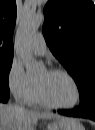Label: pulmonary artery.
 Masks as SVG:
<instances>
[{
  "label": "pulmonary artery",
  "instance_id": "e3ab8cb5",
  "mask_svg": "<svg viewBox=\"0 0 95 130\" xmlns=\"http://www.w3.org/2000/svg\"><path fill=\"white\" fill-rule=\"evenodd\" d=\"M31 50L38 55H43L46 53L47 46L44 36L41 33H37L33 36L30 42Z\"/></svg>",
  "mask_w": 95,
  "mask_h": 130
}]
</instances>
